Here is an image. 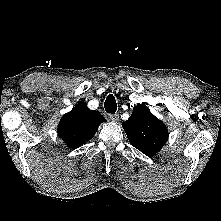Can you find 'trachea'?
<instances>
[{"instance_id":"trachea-1","label":"trachea","mask_w":221,"mask_h":221,"mask_svg":"<svg viewBox=\"0 0 221 221\" xmlns=\"http://www.w3.org/2000/svg\"><path fill=\"white\" fill-rule=\"evenodd\" d=\"M105 111L114 114L117 110V103L113 95H108L104 103Z\"/></svg>"}]
</instances>
